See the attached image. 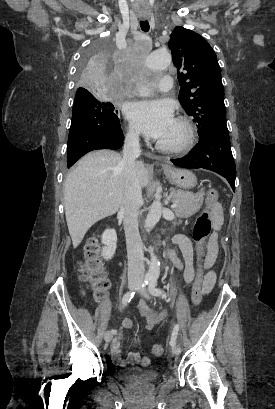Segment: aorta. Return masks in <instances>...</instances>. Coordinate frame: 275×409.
Returning <instances> with one entry per match:
<instances>
[{"instance_id":"762f6f07","label":"aorta","mask_w":275,"mask_h":409,"mask_svg":"<svg viewBox=\"0 0 275 409\" xmlns=\"http://www.w3.org/2000/svg\"><path fill=\"white\" fill-rule=\"evenodd\" d=\"M146 59L149 65H164L168 66L171 62V56H168L167 51H147ZM162 215V205L160 200H153L150 207L149 215L145 221L144 229L147 233L155 227L156 223L160 221ZM160 275V263L157 257H151L149 271L145 275L146 281H157Z\"/></svg>"}]
</instances>
